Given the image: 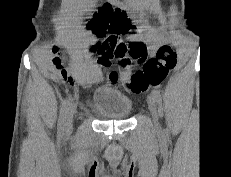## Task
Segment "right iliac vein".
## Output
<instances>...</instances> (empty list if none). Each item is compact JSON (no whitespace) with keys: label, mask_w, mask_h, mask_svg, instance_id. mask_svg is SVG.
I'll list each match as a JSON object with an SVG mask.
<instances>
[{"label":"right iliac vein","mask_w":231,"mask_h":177,"mask_svg":"<svg viewBox=\"0 0 231 177\" xmlns=\"http://www.w3.org/2000/svg\"><path fill=\"white\" fill-rule=\"evenodd\" d=\"M74 114H75V106L71 105L68 110L67 117H66V123H65V128L67 132H69L72 129Z\"/></svg>","instance_id":"right-iliac-vein-1"}]
</instances>
